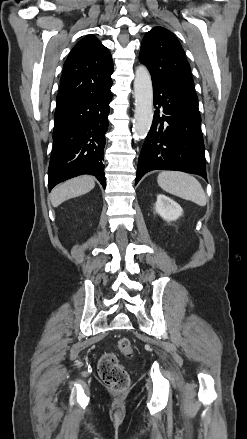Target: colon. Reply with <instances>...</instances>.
<instances>
[{
    "label": "colon",
    "mask_w": 247,
    "mask_h": 439,
    "mask_svg": "<svg viewBox=\"0 0 247 439\" xmlns=\"http://www.w3.org/2000/svg\"><path fill=\"white\" fill-rule=\"evenodd\" d=\"M118 350L126 357L132 356V347L128 339L122 338L117 344ZM99 375L114 391L124 390L129 383V376L114 353H105L99 361Z\"/></svg>",
    "instance_id": "obj_1"
}]
</instances>
